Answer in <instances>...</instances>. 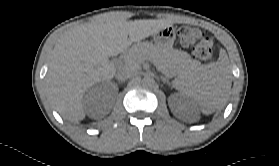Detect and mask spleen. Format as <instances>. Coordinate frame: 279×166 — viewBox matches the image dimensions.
I'll return each instance as SVG.
<instances>
[{"mask_svg":"<svg viewBox=\"0 0 279 166\" xmlns=\"http://www.w3.org/2000/svg\"><path fill=\"white\" fill-rule=\"evenodd\" d=\"M231 84V67L224 52L220 53L216 63L198 67L178 76L172 82L174 88L197 103L205 114L212 113L226 103Z\"/></svg>","mask_w":279,"mask_h":166,"instance_id":"obj_1","label":"spleen"}]
</instances>
